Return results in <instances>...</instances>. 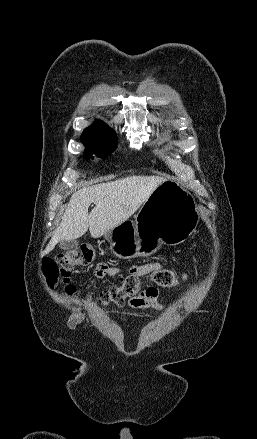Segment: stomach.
I'll list each match as a JSON object with an SVG mask.
<instances>
[{
	"label": "stomach",
	"instance_id": "stomach-1",
	"mask_svg": "<svg viewBox=\"0 0 257 439\" xmlns=\"http://www.w3.org/2000/svg\"><path fill=\"white\" fill-rule=\"evenodd\" d=\"M199 222L194 195L175 180H165L143 203L134 220H126L104 236L111 252L131 259L156 253L161 244L178 245Z\"/></svg>",
	"mask_w": 257,
	"mask_h": 439
}]
</instances>
